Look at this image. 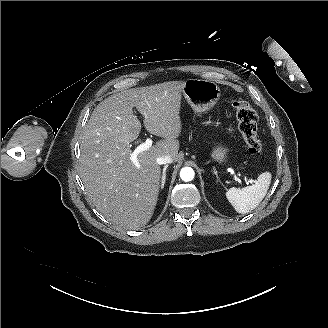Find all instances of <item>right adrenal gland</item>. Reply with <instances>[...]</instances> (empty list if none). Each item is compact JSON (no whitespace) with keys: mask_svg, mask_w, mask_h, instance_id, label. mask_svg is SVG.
<instances>
[{"mask_svg":"<svg viewBox=\"0 0 328 328\" xmlns=\"http://www.w3.org/2000/svg\"><path fill=\"white\" fill-rule=\"evenodd\" d=\"M166 169L167 167L165 166L164 167V171H163V181H162V188L165 186V180H166Z\"/></svg>","mask_w":328,"mask_h":328,"instance_id":"right-adrenal-gland-1","label":"right adrenal gland"}]
</instances>
